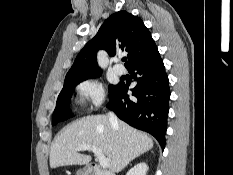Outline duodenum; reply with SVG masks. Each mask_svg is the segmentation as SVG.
Masks as SVG:
<instances>
[{
    "mask_svg": "<svg viewBox=\"0 0 233 175\" xmlns=\"http://www.w3.org/2000/svg\"><path fill=\"white\" fill-rule=\"evenodd\" d=\"M85 175H109L105 170L96 164H91L85 171Z\"/></svg>",
    "mask_w": 233,
    "mask_h": 175,
    "instance_id": "duodenum-1",
    "label": "duodenum"
}]
</instances>
